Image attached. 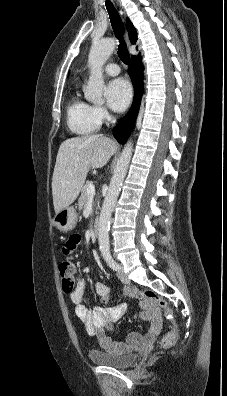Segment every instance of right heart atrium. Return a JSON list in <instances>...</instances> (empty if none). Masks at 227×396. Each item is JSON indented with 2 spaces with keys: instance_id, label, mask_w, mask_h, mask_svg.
I'll use <instances>...</instances> for the list:
<instances>
[{
  "instance_id": "d8ad5b80",
  "label": "right heart atrium",
  "mask_w": 227,
  "mask_h": 396,
  "mask_svg": "<svg viewBox=\"0 0 227 396\" xmlns=\"http://www.w3.org/2000/svg\"><path fill=\"white\" fill-rule=\"evenodd\" d=\"M94 114L97 120L101 123L110 118L108 111L102 106H93Z\"/></svg>"
}]
</instances>
